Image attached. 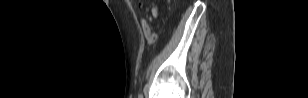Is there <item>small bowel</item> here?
Listing matches in <instances>:
<instances>
[{
	"label": "small bowel",
	"mask_w": 308,
	"mask_h": 98,
	"mask_svg": "<svg viewBox=\"0 0 308 98\" xmlns=\"http://www.w3.org/2000/svg\"><path fill=\"white\" fill-rule=\"evenodd\" d=\"M141 28H142V31L144 33V35L147 37L149 34H151V28L149 26V23L147 22L146 19L142 18L141 19Z\"/></svg>",
	"instance_id": "small-bowel-1"
}]
</instances>
